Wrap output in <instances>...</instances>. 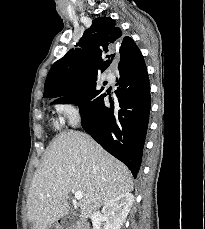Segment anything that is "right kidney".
<instances>
[{"mask_svg": "<svg viewBox=\"0 0 205 229\" xmlns=\"http://www.w3.org/2000/svg\"><path fill=\"white\" fill-rule=\"evenodd\" d=\"M134 202L131 193H125L110 200L102 209L103 218L106 220V229H120Z\"/></svg>", "mask_w": 205, "mask_h": 229, "instance_id": "right-kidney-1", "label": "right kidney"}]
</instances>
